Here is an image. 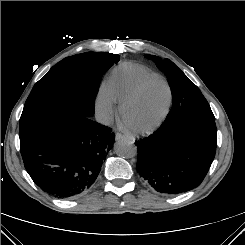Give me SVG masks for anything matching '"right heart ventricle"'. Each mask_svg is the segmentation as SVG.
<instances>
[{
	"label": "right heart ventricle",
	"instance_id": "obj_1",
	"mask_svg": "<svg viewBox=\"0 0 245 245\" xmlns=\"http://www.w3.org/2000/svg\"><path fill=\"white\" fill-rule=\"evenodd\" d=\"M154 76L158 75L143 65L125 63L113 69L108 87L115 101L122 103L144 80Z\"/></svg>",
	"mask_w": 245,
	"mask_h": 245
}]
</instances>
